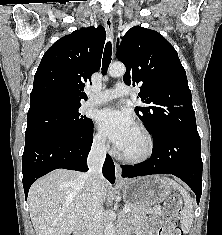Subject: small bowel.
I'll return each instance as SVG.
<instances>
[{"mask_svg": "<svg viewBox=\"0 0 222 235\" xmlns=\"http://www.w3.org/2000/svg\"><path fill=\"white\" fill-rule=\"evenodd\" d=\"M139 235H146L144 229H141ZM147 235H156L155 231L152 229Z\"/></svg>", "mask_w": 222, "mask_h": 235, "instance_id": "c3829d8e", "label": "small bowel"}]
</instances>
